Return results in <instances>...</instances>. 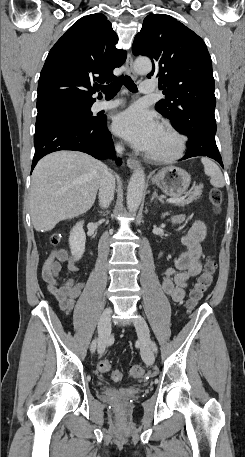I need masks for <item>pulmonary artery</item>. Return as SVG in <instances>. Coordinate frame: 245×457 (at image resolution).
Returning a JSON list of instances; mask_svg holds the SVG:
<instances>
[{"label":"pulmonary artery","mask_w":245,"mask_h":457,"mask_svg":"<svg viewBox=\"0 0 245 457\" xmlns=\"http://www.w3.org/2000/svg\"><path fill=\"white\" fill-rule=\"evenodd\" d=\"M138 93L139 95H156L157 93V82L156 80H140L139 81ZM119 104V101H97L93 105V111L99 112L101 110L111 109L116 107Z\"/></svg>","instance_id":"e3ab8cb5"}]
</instances>
